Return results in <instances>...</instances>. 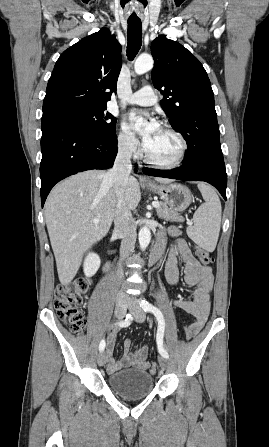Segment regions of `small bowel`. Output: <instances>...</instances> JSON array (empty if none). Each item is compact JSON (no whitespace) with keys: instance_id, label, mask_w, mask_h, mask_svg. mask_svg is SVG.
I'll return each mask as SVG.
<instances>
[{"instance_id":"1","label":"small bowel","mask_w":269,"mask_h":447,"mask_svg":"<svg viewBox=\"0 0 269 447\" xmlns=\"http://www.w3.org/2000/svg\"><path fill=\"white\" fill-rule=\"evenodd\" d=\"M172 234L179 236V231L172 230ZM165 242L163 236L158 238L155 245V251L161 252L164 248ZM180 255L184 261V280L189 286L194 287L191 300L176 299L173 305L179 309L184 310L193 317L195 328H201L206 322L210 313V297L214 287V275L210 266L203 265L191 253L187 243L177 238L175 244L171 248L166 264V276L168 281L178 286L180 284V277L177 271V256ZM116 341V332L109 334L106 337L107 356L109 357L108 371L116 372L126 367H136L138 369H147L149 363L148 356L143 355V348L141 346L136 351H130V341H125L123 345V355L120 360L113 358V351Z\"/></svg>"}]
</instances>
